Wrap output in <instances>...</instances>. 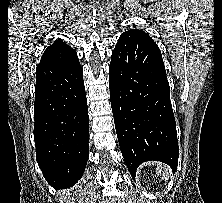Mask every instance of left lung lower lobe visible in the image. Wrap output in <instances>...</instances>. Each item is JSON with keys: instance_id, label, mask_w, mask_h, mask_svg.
I'll use <instances>...</instances> for the list:
<instances>
[{"instance_id": "1", "label": "left lung lower lobe", "mask_w": 222, "mask_h": 203, "mask_svg": "<svg viewBox=\"0 0 222 203\" xmlns=\"http://www.w3.org/2000/svg\"><path fill=\"white\" fill-rule=\"evenodd\" d=\"M111 106L126 165L135 177L145 161L178 164L170 87L157 44L141 32L122 34L109 66Z\"/></svg>"}]
</instances>
